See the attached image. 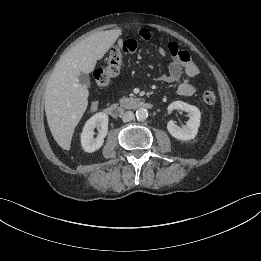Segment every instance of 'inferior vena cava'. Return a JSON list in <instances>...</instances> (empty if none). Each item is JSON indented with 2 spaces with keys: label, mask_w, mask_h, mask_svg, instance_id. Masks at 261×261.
Wrapping results in <instances>:
<instances>
[{
  "label": "inferior vena cava",
  "mask_w": 261,
  "mask_h": 261,
  "mask_svg": "<svg viewBox=\"0 0 261 261\" xmlns=\"http://www.w3.org/2000/svg\"><path fill=\"white\" fill-rule=\"evenodd\" d=\"M134 119V113L132 111H126L122 115L123 122H129Z\"/></svg>",
  "instance_id": "inferior-vena-cava-1"
}]
</instances>
